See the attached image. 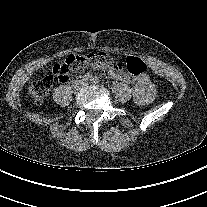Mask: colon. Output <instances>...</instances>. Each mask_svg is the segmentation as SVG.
Returning a JSON list of instances; mask_svg holds the SVG:
<instances>
[{
  "label": "colon",
  "mask_w": 207,
  "mask_h": 207,
  "mask_svg": "<svg viewBox=\"0 0 207 207\" xmlns=\"http://www.w3.org/2000/svg\"><path fill=\"white\" fill-rule=\"evenodd\" d=\"M113 59L106 53H92L86 55H70L62 64L55 65L51 73L46 74L32 82L30 94L35 103L41 104L47 96L53 81L61 75L71 71H78L85 66L105 68L113 64ZM126 68L129 73L140 76L147 72L146 63L136 57H127Z\"/></svg>",
  "instance_id": "obj_1"
}]
</instances>
